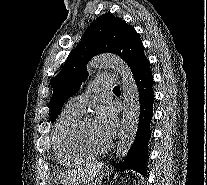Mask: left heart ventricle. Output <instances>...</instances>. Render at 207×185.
<instances>
[{
	"instance_id": "1",
	"label": "left heart ventricle",
	"mask_w": 207,
	"mask_h": 185,
	"mask_svg": "<svg viewBox=\"0 0 207 185\" xmlns=\"http://www.w3.org/2000/svg\"><path fill=\"white\" fill-rule=\"evenodd\" d=\"M83 129L86 136L96 148H102L108 141V139L97 130L94 121L91 119L84 121Z\"/></svg>"
}]
</instances>
